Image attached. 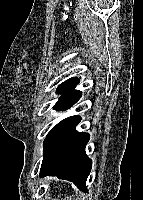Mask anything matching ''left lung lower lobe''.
<instances>
[{
	"label": "left lung lower lobe",
	"instance_id": "obj_1",
	"mask_svg": "<svg viewBox=\"0 0 143 200\" xmlns=\"http://www.w3.org/2000/svg\"><path fill=\"white\" fill-rule=\"evenodd\" d=\"M80 82L76 78L65 88L58 102L53 107L56 110L70 108L81 97V93L73 88ZM79 116H72L58 123L44 140V155L40 176H57L60 179L72 181L80 189L87 191L86 180L92 167V161L85 153L89 141L88 133L75 130L80 122Z\"/></svg>",
	"mask_w": 143,
	"mask_h": 200
}]
</instances>
